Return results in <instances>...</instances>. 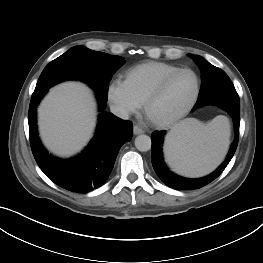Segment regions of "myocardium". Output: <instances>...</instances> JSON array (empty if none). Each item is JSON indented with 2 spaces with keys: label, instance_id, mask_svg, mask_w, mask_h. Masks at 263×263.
<instances>
[{
  "label": "myocardium",
  "instance_id": "1",
  "mask_svg": "<svg viewBox=\"0 0 263 263\" xmlns=\"http://www.w3.org/2000/svg\"><path fill=\"white\" fill-rule=\"evenodd\" d=\"M183 72H190L194 75L196 80L195 90L190 98V100L187 102V104L175 115L166 118V119H154L150 115V109L153 103L161 96L165 88L167 87L168 83L177 75ZM201 89V80L199 74L192 68L189 67H183L179 68L168 75H166L157 85L156 87L151 91V93L147 96V98L144 101V113L147 117V119L154 124L157 127H168L179 120H181L183 117H185L191 109L194 107L195 103L197 102V99L200 94Z\"/></svg>",
  "mask_w": 263,
  "mask_h": 263
}]
</instances>
